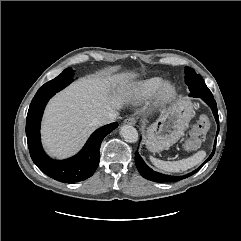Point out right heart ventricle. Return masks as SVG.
<instances>
[{
  "label": "right heart ventricle",
  "instance_id": "e07e8e85",
  "mask_svg": "<svg viewBox=\"0 0 241 241\" xmlns=\"http://www.w3.org/2000/svg\"><path fill=\"white\" fill-rule=\"evenodd\" d=\"M162 83L163 79L161 77H149L143 79L134 85L132 94L139 99L150 98Z\"/></svg>",
  "mask_w": 241,
  "mask_h": 241
}]
</instances>
